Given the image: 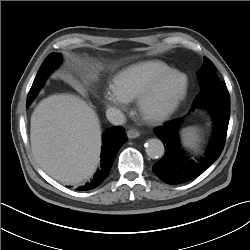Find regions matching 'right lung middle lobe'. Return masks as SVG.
Masks as SVG:
<instances>
[{
  "label": "right lung middle lobe",
  "instance_id": "dd1d6c3e",
  "mask_svg": "<svg viewBox=\"0 0 250 250\" xmlns=\"http://www.w3.org/2000/svg\"><path fill=\"white\" fill-rule=\"evenodd\" d=\"M60 61H61V56L57 53H52L45 59L29 91V94L27 96L26 106H28L33 101V99L43 86L49 73L59 65Z\"/></svg>",
  "mask_w": 250,
  "mask_h": 250
}]
</instances>
